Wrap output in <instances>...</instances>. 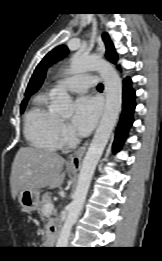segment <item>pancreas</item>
I'll return each mask as SVG.
<instances>
[{"label": "pancreas", "mask_w": 162, "mask_h": 261, "mask_svg": "<svg viewBox=\"0 0 162 261\" xmlns=\"http://www.w3.org/2000/svg\"><path fill=\"white\" fill-rule=\"evenodd\" d=\"M51 196L48 193L43 194L42 196V200L39 202L37 211L38 214L40 215V218L44 221H46L47 223L44 225V229H45V233L43 238L46 239V242L48 243L52 236H53V232L51 231V227L55 225V220L53 218H51L50 214H45L44 213V205L51 202Z\"/></svg>", "instance_id": "pancreas-1"}]
</instances>
